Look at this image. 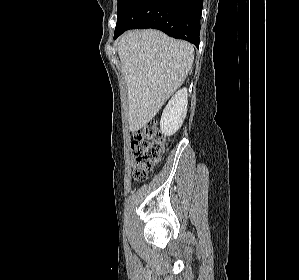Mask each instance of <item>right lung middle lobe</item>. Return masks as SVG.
Wrapping results in <instances>:
<instances>
[{
	"instance_id": "obj_1",
	"label": "right lung middle lobe",
	"mask_w": 299,
	"mask_h": 280,
	"mask_svg": "<svg viewBox=\"0 0 299 280\" xmlns=\"http://www.w3.org/2000/svg\"><path fill=\"white\" fill-rule=\"evenodd\" d=\"M123 1H124V0H118V8H117V12H118V10H119V8H120V6H121V4H122Z\"/></svg>"
}]
</instances>
